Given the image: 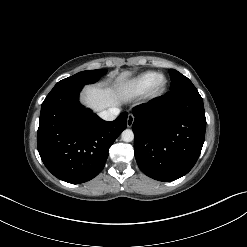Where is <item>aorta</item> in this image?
<instances>
[{
    "label": "aorta",
    "mask_w": 247,
    "mask_h": 247,
    "mask_svg": "<svg viewBox=\"0 0 247 247\" xmlns=\"http://www.w3.org/2000/svg\"><path fill=\"white\" fill-rule=\"evenodd\" d=\"M121 138L124 142H131L134 140V133L130 129H126L122 132Z\"/></svg>",
    "instance_id": "762f6f07"
}]
</instances>
